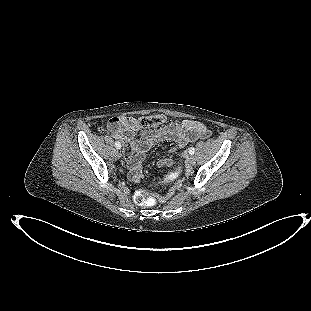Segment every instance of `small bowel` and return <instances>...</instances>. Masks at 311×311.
<instances>
[{"label": "small bowel", "mask_w": 311, "mask_h": 311, "mask_svg": "<svg viewBox=\"0 0 311 311\" xmlns=\"http://www.w3.org/2000/svg\"><path fill=\"white\" fill-rule=\"evenodd\" d=\"M118 122V128H113L112 124ZM107 129L109 133L121 139L130 149L123 153V158L130 168V177L138 182L141 178V166L146 152L150 147L161 141L174 142L169 152H176L184 148L188 143L209 135L208 128L200 121L184 120L180 123H171L153 130H142L141 138L135 139V132L140 130L139 121L129 116H116L108 121ZM160 166L169 165L168 159H161ZM169 193L163 196L166 198Z\"/></svg>", "instance_id": "c3829d8e"}]
</instances>
